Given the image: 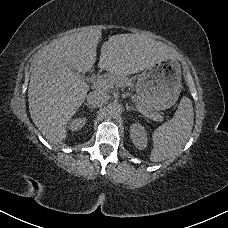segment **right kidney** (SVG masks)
Wrapping results in <instances>:
<instances>
[{"instance_id":"obj_1","label":"right kidney","mask_w":228,"mask_h":228,"mask_svg":"<svg viewBox=\"0 0 228 228\" xmlns=\"http://www.w3.org/2000/svg\"><path fill=\"white\" fill-rule=\"evenodd\" d=\"M86 119L75 118L68 123V128L72 131L80 130L85 125Z\"/></svg>"}]
</instances>
